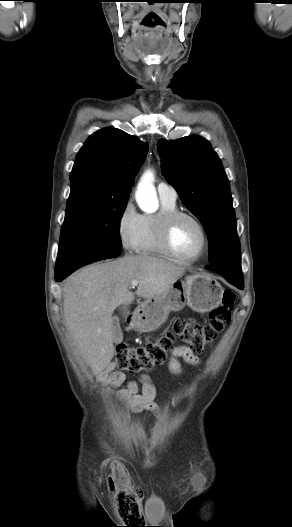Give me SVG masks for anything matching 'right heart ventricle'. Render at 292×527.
I'll list each match as a JSON object with an SVG mask.
<instances>
[{
  "label": "right heart ventricle",
  "mask_w": 292,
  "mask_h": 527,
  "mask_svg": "<svg viewBox=\"0 0 292 527\" xmlns=\"http://www.w3.org/2000/svg\"><path fill=\"white\" fill-rule=\"evenodd\" d=\"M161 208L156 214H143L137 232L134 250L139 254L167 257L157 238V223L159 217L169 211L177 210L176 200L160 197Z\"/></svg>",
  "instance_id": "e07e8e85"
}]
</instances>
